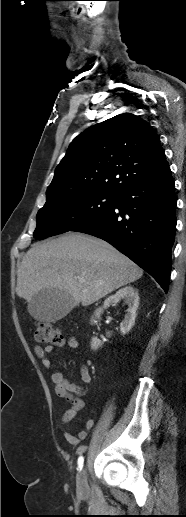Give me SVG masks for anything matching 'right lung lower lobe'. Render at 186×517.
<instances>
[{"instance_id":"obj_1","label":"right lung lower lobe","mask_w":186,"mask_h":517,"mask_svg":"<svg viewBox=\"0 0 186 517\" xmlns=\"http://www.w3.org/2000/svg\"><path fill=\"white\" fill-rule=\"evenodd\" d=\"M176 196L168 167L119 194L105 213L71 231L101 238L147 271L168 291L175 240Z\"/></svg>"}]
</instances>
